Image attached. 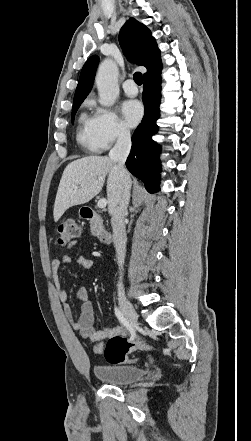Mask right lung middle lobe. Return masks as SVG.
Returning <instances> with one entry per match:
<instances>
[{
    "label": "right lung middle lobe",
    "mask_w": 251,
    "mask_h": 441,
    "mask_svg": "<svg viewBox=\"0 0 251 441\" xmlns=\"http://www.w3.org/2000/svg\"><path fill=\"white\" fill-rule=\"evenodd\" d=\"M82 102H83V100H79V101H75V102H73V108H72V121H74L76 111L78 110V108L80 107V105L82 104Z\"/></svg>",
    "instance_id": "1"
}]
</instances>
